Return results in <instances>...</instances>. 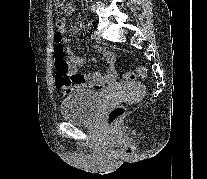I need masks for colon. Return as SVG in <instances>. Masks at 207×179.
Masks as SVG:
<instances>
[{
  "instance_id": "1",
  "label": "colon",
  "mask_w": 207,
  "mask_h": 179,
  "mask_svg": "<svg viewBox=\"0 0 207 179\" xmlns=\"http://www.w3.org/2000/svg\"><path fill=\"white\" fill-rule=\"evenodd\" d=\"M53 5L58 16L65 15L68 1L67 0H53ZM54 46V65L56 69V84L64 93H69L79 81L78 76L71 75L68 62L64 56L63 36L62 33L56 31L53 36ZM147 69L145 67H138L134 72L125 74V78L133 80L137 77H145ZM126 111L123 106L113 107L106 115L107 123L110 126H117L120 120L125 115Z\"/></svg>"
}]
</instances>
